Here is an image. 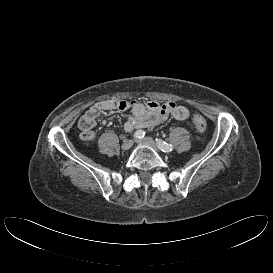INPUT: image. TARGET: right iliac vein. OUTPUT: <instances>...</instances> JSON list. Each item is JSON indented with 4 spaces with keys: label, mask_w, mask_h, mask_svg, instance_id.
Returning a JSON list of instances; mask_svg holds the SVG:
<instances>
[{
    "label": "right iliac vein",
    "mask_w": 273,
    "mask_h": 273,
    "mask_svg": "<svg viewBox=\"0 0 273 273\" xmlns=\"http://www.w3.org/2000/svg\"><path fill=\"white\" fill-rule=\"evenodd\" d=\"M133 146V141L132 140H126L123 142L121 149L123 151L129 150Z\"/></svg>",
    "instance_id": "right-iliac-vein-1"
}]
</instances>
